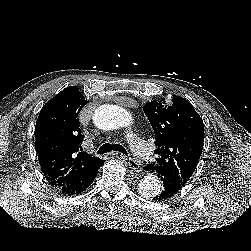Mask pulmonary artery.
<instances>
[{"label":"pulmonary artery","instance_id":"e3ab8cb5","mask_svg":"<svg viewBox=\"0 0 251 251\" xmlns=\"http://www.w3.org/2000/svg\"><path fill=\"white\" fill-rule=\"evenodd\" d=\"M128 141L132 151L139 157H147L149 155V145L137 138L128 137Z\"/></svg>","mask_w":251,"mask_h":251}]
</instances>
